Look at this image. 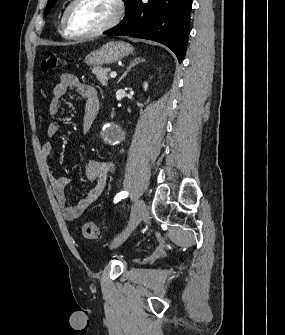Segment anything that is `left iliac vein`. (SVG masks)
<instances>
[{"label":"left iliac vein","mask_w":285,"mask_h":335,"mask_svg":"<svg viewBox=\"0 0 285 335\" xmlns=\"http://www.w3.org/2000/svg\"><path fill=\"white\" fill-rule=\"evenodd\" d=\"M147 218H148V211L145 203L142 200H137L134 203L133 208L131 210L130 220L127 228L123 231L122 234H120L112 241L111 248L120 245L129 236L132 230L139 224V222Z\"/></svg>","instance_id":"left-iliac-vein-1"}]
</instances>
